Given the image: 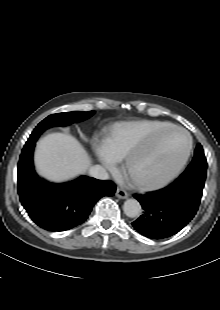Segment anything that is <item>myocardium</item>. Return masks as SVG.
<instances>
[{
	"instance_id": "myocardium-1",
	"label": "myocardium",
	"mask_w": 220,
	"mask_h": 310,
	"mask_svg": "<svg viewBox=\"0 0 220 310\" xmlns=\"http://www.w3.org/2000/svg\"><path fill=\"white\" fill-rule=\"evenodd\" d=\"M167 130L180 131V132L184 133L188 138V147H187L185 155L182 158V160L180 161V163L177 165V167L170 174H168L166 177H164L160 180H157V181H147V180H144V179H141V178L135 176L133 171H132V166H133L134 161L139 156H141L143 153L150 152L151 148L147 149V147L151 143H154L158 139V137ZM192 149H193V139H192L190 133L181 126L171 124V125H168L162 129L158 130L143 145L132 150L125 157L124 162H123V166H122V170H123V173L130 179L131 183L136 188L141 189V190L160 189V188H163V187L169 185L171 182H173L180 175V173L182 172V170L184 169V167L186 166V164L190 158Z\"/></svg>"
}]
</instances>
